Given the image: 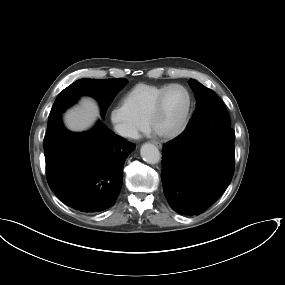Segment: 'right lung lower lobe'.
Instances as JSON below:
<instances>
[{"mask_svg": "<svg viewBox=\"0 0 285 285\" xmlns=\"http://www.w3.org/2000/svg\"><path fill=\"white\" fill-rule=\"evenodd\" d=\"M134 149L101 121L91 131L72 133L60 120L44 138L48 184L77 211H104L120 193L124 162Z\"/></svg>", "mask_w": 285, "mask_h": 285, "instance_id": "98d812e1", "label": "right lung lower lobe"}]
</instances>
